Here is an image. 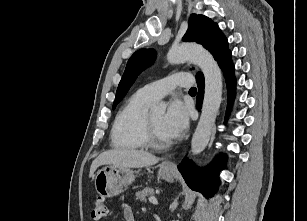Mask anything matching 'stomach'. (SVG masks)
<instances>
[{"label": "stomach", "mask_w": 307, "mask_h": 221, "mask_svg": "<svg viewBox=\"0 0 307 221\" xmlns=\"http://www.w3.org/2000/svg\"><path fill=\"white\" fill-rule=\"evenodd\" d=\"M135 173L130 168L114 165L105 166L94 176L95 189L102 197L116 196L135 180ZM158 175L167 181H173L174 170L162 163L159 166Z\"/></svg>", "instance_id": "stomach-1"}]
</instances>
